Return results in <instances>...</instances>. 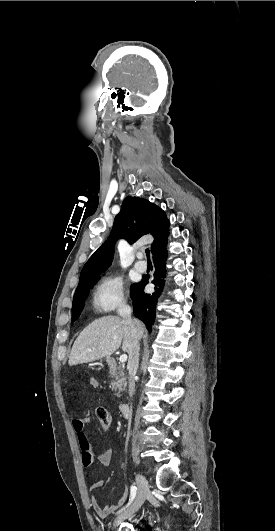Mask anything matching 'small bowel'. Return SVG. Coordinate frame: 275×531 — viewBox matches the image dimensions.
<instances>
[{"mask_svg":"<svg viewBox=\"0 0 275 531\" xmlns=\"http://www.w3.org/2000/svg\"><path fill=\"white\" fill-rule=\"evenodd\" d=\"M97 377L95 374L90 373L87 375V377L81 378L82 384H87L89 390L91 391H97L100 388L99 383L96 382ZM89 421V415L83 414L75 419L72 420V427L74 431L77 434L78 443L83 450V457L82 460L84 462V449L90 448V442L89 439L85 433V426L87 425ZM112 459V451L111 449H106L100 453L94 454L91 456L89 460V464H92L93 462H97L103 465H108L111 462ZM104 481L103 480H96L94 481L90 486V492H95L101 487H103ZM128 498V492L125 490L111 505L107 507H102L98 501V499L91 495L89 504L93 511L97 514V516L100 519H106L111 513L117 511L120 509L124 503L126 502Z\"/></svg>","mask_w":275,"mask_h":531,"instance_id":"obj_1","label":"small bowel"}]
</instances>
